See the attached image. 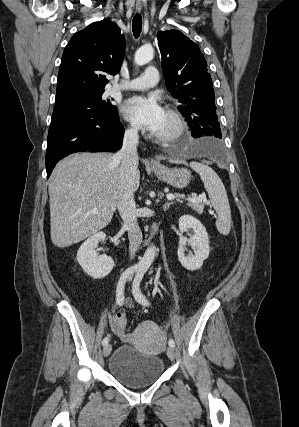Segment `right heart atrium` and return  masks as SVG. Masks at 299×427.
I'll return each mask as SVG.
<instances>
[{
	"mask_svg": "<svg viewBox=\"0 0 299 427\" xmlns=\"http://www.w3.org/2000/svg\"><path fill=\"white\" fill-rule=\"evenodd\" d=\"M127 133H128L129 135H136L137 130H136L133 126H130V127H128V129H127Z\"/></svg>",
	"mask_w": 299,
	"mask_h": 427,
	"instance_id": "1",
	"label": "right heart atrium"
}]
</instances>
